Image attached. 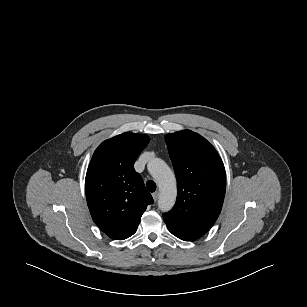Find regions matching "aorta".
Listing matches in <instances>:
<instances>
[{
  "label": "aorta",
  "instance_id": "762f6f07",
  "mask_svg": "<svg viewBox=\"0 0 307 307\" xmlns=\"http://www.w3.org/2000/svg\"><path fill=\"white\" fill-rule=\"evenodd\" d=\"M148 171L159 187V209L167 212L172 209L177 196L176 178L170 167L159 158L149 161Z\"/></svg>",
  "mask_w": 307,
  "mask_h": 307
}]
</instances>
